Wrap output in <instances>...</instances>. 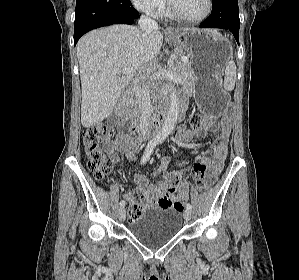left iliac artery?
Wrapping results in <instances>:
<instances>
[{"mask_svg": "<svg viewBox=\"0 0 299 280\" xmlns=\"http://www.w3.org/2000/svg\"><path fill=\"white\" fill-rule=\"evenodd\" d=\"M186 208H187V209H191V208H192L191 204H190V203H187V204H186Z\"/></svg>", "mask_w": 299, "mask_h": 280, "instance_id": "obj_1", "label": "left iliac artery"}]
</instances>
